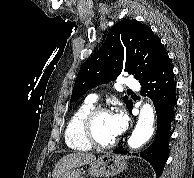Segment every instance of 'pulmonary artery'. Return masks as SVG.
I'll return each mask as SVG.
<instances>
[{
    "mask_svg": "<svg viewBox=\"0 0 194 178\" xmlns=\"http://www.w3.org/2000/svg\"><path fill=\"white\" fill-rule=\"evenodd\" d=\"M124 85L128 88H132V89H138V82L137 80L131 78V77H128L125 82H124ZM98 97L96 95H91L89 98H88V101L91 102V103H95L97 101Z\"/></svg>",
    "mask_w": 194,
    "mask_h": 178,
    "instance_id": "e3ab8cb5",
    "label": "pulmonary artery"
}]
</instances>
